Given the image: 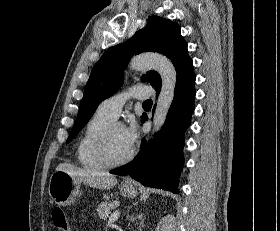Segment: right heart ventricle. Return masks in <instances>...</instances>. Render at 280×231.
<instances>
[{
	"instance_id": "obj_1",
	"label": "right heart ventricle",
	"mask_w": 280,
	"mask_h": 231,
	"mask_svg": "<svg viewBox=\"0 0 280 231\" xmlns=\"http://www.w3.org/2000/svg\"><path fill=\"white\" fill-rule=\"evenodd\" d=\"M114 119L98 111L88 120L75 145V158L85 170H101L106 166L95 156L96 141L104 127Z\"/></svg>"
}]
</instances>
